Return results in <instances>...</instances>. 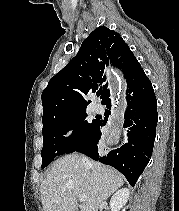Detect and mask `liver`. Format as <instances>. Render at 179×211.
Segmentation results:
<instances>
[{"mask_svg": "<svg viewBox=\"0 0 179 211\" xmlns=\"http://www.w3.org/2000/svg\"><path fill=\"white\" fill-rule=\"evenodd\" d=\"M80 154L57 159L40 186L44 211H77L78 195L86 196L81 211H98L107 198L124 184L123 177L98 162L82 161Z\"/></svg>", "mask_w": 179, "mask_h": 211, "instance_id": "6515ba94", "label": "liver"}]
</instances>
